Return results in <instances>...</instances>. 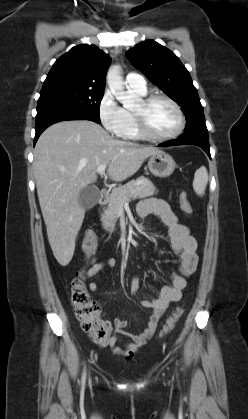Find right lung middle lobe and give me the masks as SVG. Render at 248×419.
Wrapping results in <instances>:
<instances>
[{"mask_svg": "<svg viewBox=\"0 0 248 419\" xmlns=\"http://www.w3.org/2000/svg\"><path fill=\"white\" fill-rule=\"evenodd\" d=\"M104 90L56 86L42 88L37 114L54 110H78L100 121L99 108Z\"/></svg>", "mask_w": 248, "mask_h": 419, "instance_id": "1", "label": "right lung middle lobe"}]
</instances>
